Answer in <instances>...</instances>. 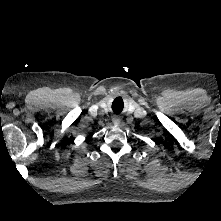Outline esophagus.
I'll use <instances>...</instances> for the list:
<instances>
[{"label": "esophagus", "instance_id": "esophagus-1", "mask_svg": "<svg viewBox=\"0 0 221 221\" xmlns=\"http://www.w3.org/2000/svg\"><path fill=\"white\" fill-rule=\"evenodd\" d=\"M112 121H113V124H114V125H119L121 119H120V117H118V116H114V117L112 118Z\"/></svg>", "mask_w": 221, "mask_h": 221}]
</instances>
